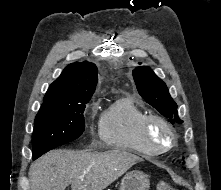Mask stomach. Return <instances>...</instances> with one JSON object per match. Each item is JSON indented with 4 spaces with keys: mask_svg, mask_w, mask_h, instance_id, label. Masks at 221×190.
Here are the masks:
<instances>
[{
    "mask_svg": "<svg viewBox=\"0 0 221 190\" xmlns=\"http://www.w3.org/2000/svg\"><path fill=\"white\" fill-rule=\"evenodd\" d=\"M150 180L142 171L127 173L120 184L119 190H149Z\"/></svg>",
    "mask_w": 221,
    "mask_h": 190,
    "instance_id": "1",
    "label": "stomach"
}]
</instances>
